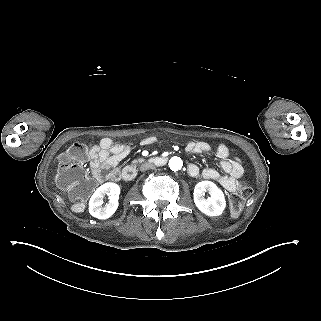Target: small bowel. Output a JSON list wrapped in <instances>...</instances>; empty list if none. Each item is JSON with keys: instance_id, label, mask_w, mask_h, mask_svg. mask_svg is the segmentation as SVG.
<instances>
[{"instance_id": "obj_1", "label": "small bowel", "mask_w": 321, "mask_h": 321, "mask_svg": "<svg viewBox=\"0 0 321 321\" xmlns=\"http://www.w3.org/2000/svg\"><path fill=\"white\" fill-rule=\"evenodd\" d=\"M157 142V137L150 135L142 139L143 145H152ZM130 152V147L124 144L115 143L111 138H103L98 144L91 145L89 149V164L94 177L98 181L108 178H116L118 172L116 166ZM188 154L213 153L219 160V172L214 168H205L202 176L205 179L218 182L223 188L230 192L238 190L241 185L239 179L243 175V166L239 158H230L226 145L219 144L214 151L211 146L203 141L189 142L186 146ZM188 173L192 177L199 175L200 170L196 164H189Z\"/></svg>"}]
</instances>
